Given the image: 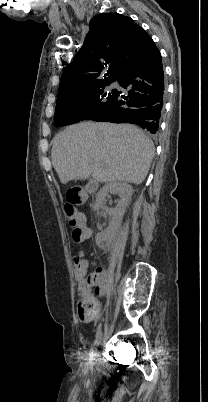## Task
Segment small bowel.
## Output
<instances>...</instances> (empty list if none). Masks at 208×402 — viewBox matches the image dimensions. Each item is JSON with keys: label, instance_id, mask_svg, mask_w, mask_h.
<instances>
[{"label": "small bowel", "instance_id": "1", "mask_svg": "<svg viewBox=\"0 0 208 402\" xmlns=\"http://www.w3.org/2000/svg\"><path fill=\"white\" fill-rule=\"evenodd\" d=\"M86 236L85 239L91 236V230L86 227V223H84ZM84 240V239H83ZM88 262L84 260L83 267H75V278L78 283V293L80 295V280H97V294H104L106 288L109 287V284L106 282V273L101 270H92L91 275L87 276ZM105 275V276H104ZM86 296V295H81ZM88 298V296L86 297ZM101 318L99 315H84L82 321L79 324L81 330H96L98 324L100 323ZM108 330H115L117 324L115 321H108L106 324Z\"/></svg>", "mask_w": 208, "mask_h": 402}]
</instances>
